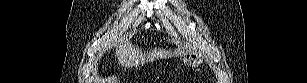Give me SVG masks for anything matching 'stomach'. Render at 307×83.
I'll list each match as a JSON object with an SVG mask.
<instances>
[{"instance_id":"0dacf381","label":"stomach","mask_w":307,"mask_h":83,"mask_svg":"<svg viewBox=\"0 0 307 83\" xmlns=\"http://www.w3.org/2000/svg\"><path fill=\"white\" fill-rule=\"evenodd\" d=\"M183 62L193 67L200 66L203 63L202 55L199 53H187L183 56Z\"/></svg>"}]
</instances>
